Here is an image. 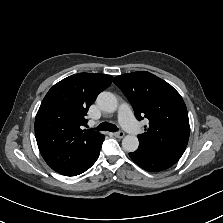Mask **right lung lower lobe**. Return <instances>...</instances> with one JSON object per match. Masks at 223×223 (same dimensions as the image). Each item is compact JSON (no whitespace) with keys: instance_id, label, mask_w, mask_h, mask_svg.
I'll list each match as a JSON object with an SVG mask.
<instances>
[{"instance_id":"right-lung-lower-lobe-1","label":"right lung lower lobe","mask_w":223,"mask_h":223,"mask_svg":"<svg viewBox=\"0 0 223 223\" xmlns=\"http://www.w3.org/2000/svg\"><path fill=\"white\" fill-rule=\"evenodd\" d=\"M104 140V136L102 138V141H101V144L100 146L98 147L97 151L95 152V154L93 155V157L87 162V164L82 167L75 175H79L83 172H85L86 170H88L97 160L98 156H99V153H100V149H101V146H102V142ZM73 175V176H75Z\"/></svg>"}]
</instances>
